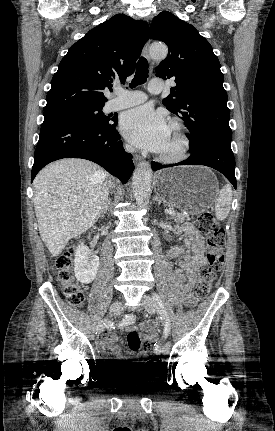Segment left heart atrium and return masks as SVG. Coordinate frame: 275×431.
<instances>
[{"mask_svg":"<svg viewBox=\"0 0 275 431\" xmlns=\"http://www.w3.org/2000/svg\"><path fill=\"white\" fill-rule=\"evenodd\" d=\"M164 115L150 106H140L127 111L121 118L122 134L136 147L160 152L168 135Z\"/></svg>","mask_w":275,"mask_h":431,"instance_id":"obj_1","label":"left heart atrium"}]
</instances>
